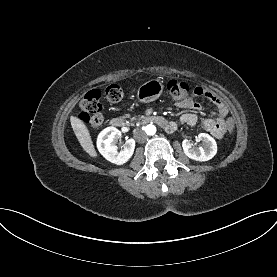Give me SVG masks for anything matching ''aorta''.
I'll return each instance as SVG.
<instances>
[{
    "label": "aorta",
    "instance_id": "762f6f07",
    "mask_svg": "<svg viewBox=\"0 0 277 277\" xmlns=\"http://www.w3.org/2000/svg\"><path fill=\"white\" fill-rule=\"evenodd\" d=\"M145 132L147 135H154L156 133L155 125L149 124L145 127Z\"/></svg>",
    "mask_w": 277,
    "mask_h": 277
}]
</instances>
